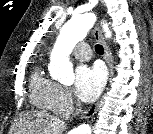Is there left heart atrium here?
Masks as SVG:
<instances>
[{"instance_id": "left-heart-atrium-1", "label": "left heart atrium", "mask_w": 153, "mask_h": 134, "mask_svg": "<svg viewBox=\"0 0 153 134\" xmlns=\"http://www.w3.org/2000/svg\"><path fill=\"white\" fill-rule=\"evenodd\" d=\"M105 83L104 70L99 66L81 65L76 69L74 91L85 102L95 100Z\"/></svg>"}]
</instances>
